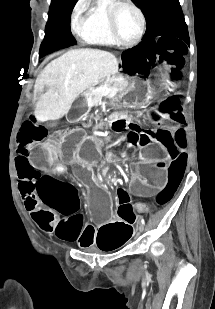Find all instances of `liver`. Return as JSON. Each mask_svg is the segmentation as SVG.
<instances>
[{
    "label": "liver",
    "instance_id": "6515ba94",
    "mask_svg": "<svg viewBox=\"0 0 215 309\" xmlns=\"http://www.w3.org/2000/svg\"><path fill=\"white\" fill-rule=\"evenodd\" d=\"M118 64L115 54L99 48H73L54 58L35 80L36 114H41L43 120L61 118L80 92L106 80ZM44 86L48 90L38 96Z\"/></svg>",
    "mask_w": 215,
    "mask_h": 309
}]
</instances>
